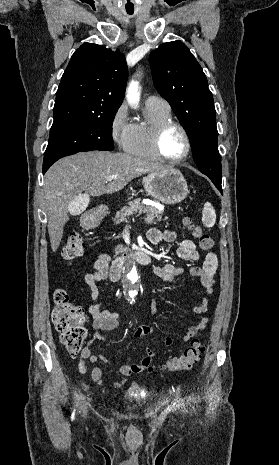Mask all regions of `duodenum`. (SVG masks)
Returning a JSON list of instances; mask_svg holds the SVG:
<instances>
[{"instance_id":"duodenum-1","label":"duodenum","mask_w":279,"mask_h":465,"mask_svg":"<svg viewBox=\"0 0 279 465\" xmlns=\"http://www.w3.org/2000/svg\"><path fill=\"white\" fill-rule=\"evenodd\" d=\"M130 260L137 261L143 265H147L150 263L151 258L149 253L144 249L138 251H120L118 257L112 265L111 280L113 282H116L120 279L125 263Z\"/></svg>"}]
</instances>
